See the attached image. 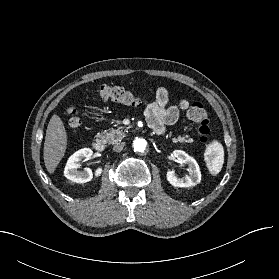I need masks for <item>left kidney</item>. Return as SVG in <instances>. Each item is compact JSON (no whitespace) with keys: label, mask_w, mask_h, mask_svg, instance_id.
<instances>
[{"label":"left kidney","mask_w":279,"mask_h":279,"mask_svg":"<svg viewBox=\"0 0 279 279\" xmlns=\"http://www.w3.org/2000/svg\"><path fill=\"white\" fill-rule=\"evenodd\" d=\"M173 156L177 158L181 163L188 165L189 175L183 177H177L175 172L172 170L167 172V180L174 187H191L195 186L201 181V172L196 160L189 156L182 150L173 151Z\"/></svg>","instance_id":"5707ae66"}]
</instances>
